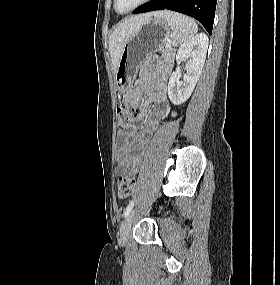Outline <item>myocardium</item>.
<instances>
[{
	"label": "myocardium",
	"instance_id": "myocardium-1",
	"mask_svg": "<svg viewBox=\"0 0 280 285\" xmlns=\"http://www.w3.org/2000/svg\"><path fill=\"white\" fill-rule=\"evenodd\" d=\"M149 0H140L137 4H135L133 7H131L130 9H128L127 11H124V12H120L118 9H117V3H118V0H113V7H114V10L118 13V14H128L130 12H133L134 10H136L137 8H139L140 6L144 5L145 3H147Z\"/></svg>",
	"mask_w": 280,
	"mask_h": 285
}]
</instances>
